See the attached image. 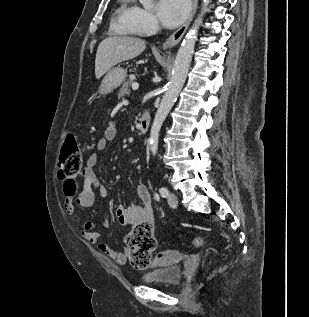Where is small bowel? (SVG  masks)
<instances>
[{"label": "small bowel", "mask_w": 309, "mask_h": 317, "mask_svg": "<svg viewBox=\"0 0 309 317\" xmlns=\"http://www.w3.org/2000/svg\"><path fill=\"white\" fill-rule=\"evenodd\" d=\"M117 137V127L115 124H109L104 132V136L100 138L96 144L98 151H104L108 142ZM98 162V155L92 153L88 156L86 166L81 172L83 179L82 188L78 191L75 183L65 185V201L64 207L67 214L80 226L81 236L96 246L102 253L113 258L118 264H124L130 252L127 248L122 251L113 249L103 240L102 234L97 230L99 228H107L108 219L104 218L100 223L84 221L79 214V208H88L94 204L96 193L104 192L103 185L100 184L96 173L95 166ZM138 202L125 206L119 204L115 208L117 220L121 224H133L138 222L153 221L152 199L148 188L145 185L137 187Z\"/></svg>", "instance_id": "small-bowel-1"}]
</instances>
